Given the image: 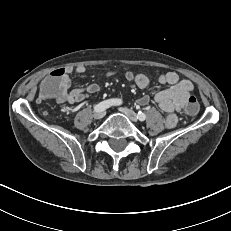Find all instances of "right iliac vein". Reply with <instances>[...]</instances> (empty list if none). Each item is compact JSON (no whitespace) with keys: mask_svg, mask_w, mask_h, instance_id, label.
<instances>
[{"mask_svg":"<svg viewBox=\"0 0 231 231\" xmlns=\"http://www.w3.org/2000/svg\"><path fill=\"white\" fill-rule=\"evenodd\" d=\"M104 115H105V112H104V111H99V112H95V113L93 114V117H94V119L99 120V119L103 118Z\"/></svg>","mask_w":231,"mask_h":231,"instance_id":"1","label":"right iliac vein"}]
</instances>
